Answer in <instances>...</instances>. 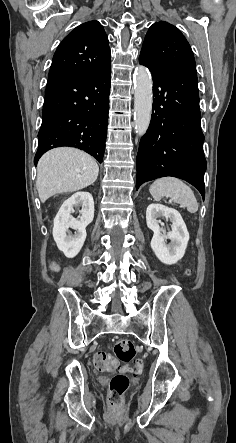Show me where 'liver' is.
<instances>
[{"label": "liver", "instance_id": "6515ba94", "mask_svg": "<svg viewBox=\"0 0 236 443\" xmlns=\"http://www.w3.org/2000/svg\"><path fill=\"white\" fill-rule=\"evenodd\" d=\"M98 173L96 160L81 150L69 147L50 150L37 165L39 198L44 203L55 194L81 190L93 184Z\"/></svg>", "mask_w": 236, "mask_h": 443}]
</instances>
